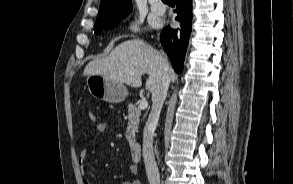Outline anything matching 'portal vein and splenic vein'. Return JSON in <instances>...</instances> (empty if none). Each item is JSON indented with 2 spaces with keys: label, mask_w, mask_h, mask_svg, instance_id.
Segmentation results:
<instances>
[{
  "label": "portal vein and splenic vein",
  "mask_w": 293,
  "mask_h": 184,
  "mask_svg": "<svg viewBox=\"0 0 293 184\" xmlns=\"http://www.w3.org/2000/svg\"><path fill=\"white\" fill-rule=\"evenodd\" d=\"M148 107V101L147 100H143L140 105H139V109L140 110H145Z\"/></svg>",
  "instance_id": "18ae733b"
}]
</instances>
